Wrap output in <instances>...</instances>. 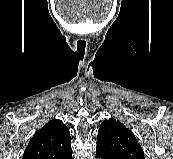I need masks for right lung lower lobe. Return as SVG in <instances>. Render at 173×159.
Masks as SVG:
<instances>
[{
    "instance_id": "obj_1",
    "label": "right lung lower lobe",
    "mask_w": 173,
    "mask_h": 159,
    "mask_svg": "<svg viewBox=\"0 0 173 159\" xmlns=\"http://www.w3.org/2000/svg\"><path fill=\"white\" fill-rule=\"evenodd\" d=\"M62 159H72V152L64 156Z\"/></svg>"
}]
</instances>
